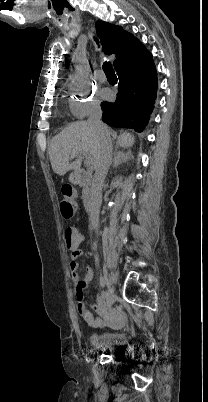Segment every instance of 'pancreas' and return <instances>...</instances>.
Listing matches in <instances>:
<instances>
[{
    "label": "pancreas",
    "instance_id": "obj_1",
    "mask_svg": "<svg viewBox=\"0 0 208 402\" xmlns=\"http://www.w3.org/2000/svg\"><path fill=\"white\" fill-rule=\"evenodd\" d=\"M88 174V172H87ZM82 198H85V196H88V194H90V188H88V186H83V190H82Z\"/></svg>",
    "mask_w": 208,
    "mask_h": 402
}]
</instances>
